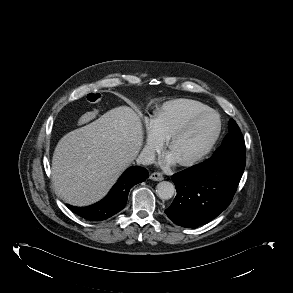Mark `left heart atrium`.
<instances>
[{
  "instance_id": "left-heart-atrium-1",
  "label": "left heart atrium",
  "mask_w": 293,
  "mask_h": 293,
  "mask_svg": "<svg viewBox=\"0 0 293 293\" xmlns=\"http://www.w3.org/2000/svg\"><path fill=\"white\" fill-rule=\"evenodd\" d=\"M178 162V160L176 159V157L170 152L166 155V157L163 160V164L165 165H171Z\"/></svg>"
}]
</instances>
